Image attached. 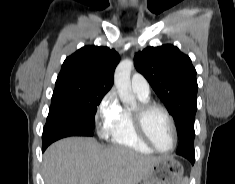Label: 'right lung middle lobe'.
<instances>
[{"label":"right lung middle lobe","instance_id":"dd1d6c3e","mask_svg":"<svg viewBox=\"0 0 235 184\" xmlns=\"http://www.w3.org/2000/svg\"><path fill=\"white\" fill-rule=\"evenodd\" d=\"M108 91L109 89L101 87H69L55 90L51 99V108L66 111L90 130H94L97 106Z\"/></svg>","mask_w":235,"mask_h":184}]
</instances>
